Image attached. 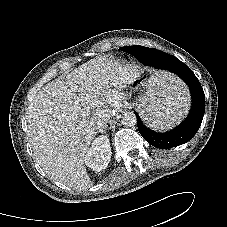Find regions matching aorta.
Instances as JSON below:
<instances>
[{"mask_svg":"<svg viewBox=\"0 0 227 227\" xmlns=\"http://www.w3.org/2000/svg\"><path fill=\"white\" fill-rule=\"evenodd\" d=\"M120 119L121 123L128 127L134 126L137 123L136 115L132 111L123 112Z\"/></svg>","mask_w":227,"mask_h":227,"instance_id":"aorta-1","label":"aorta"}]
</instances>
